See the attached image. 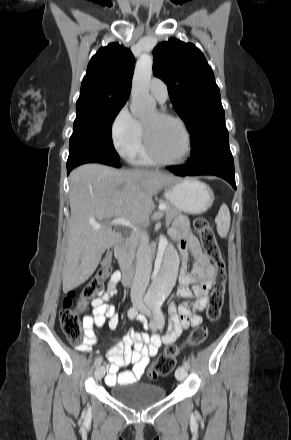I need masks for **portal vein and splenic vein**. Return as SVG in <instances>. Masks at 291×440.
<instances>
[{
	"instance_id": "1",
	"label": "portal vein and splenic vein",
	"mask_w": 291,
	"mask_h": 440,
	"mask_svg": "<svg viewBox=\"0 0 291 440\" xmlns=\"http://www.w3.org/2000/svg\"><path fill=\"white\" fill-rule=\"evenodd\" d=\"M166 209V205L165 204H160L159 205V210L160 211H162V210H165ZM110 224L111 225H122V226H125V227H129V228H131L133 231H135V232H137L138 231V227L137 226H135L134 224H132L131 222H129V221H127L126 219H124V218H118V219H114V220H112L111 222H110ZM94 227L95 228H100V225H98V224H94Z\"/></svg>"
}]
</instances>
